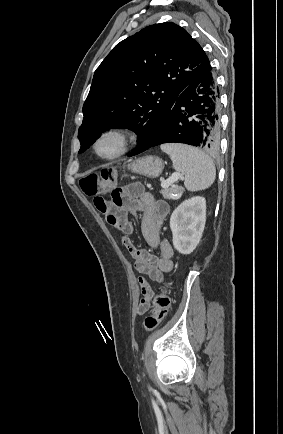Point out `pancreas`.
<instances>
[{"label":"pancreas","instance_id":"1","mask_svg":"<svg viewBox=\"0 0 283 434\" xmlns=\"http://www.w3.org/2000/svg\"><path fill=\"white\" fill-rule=\"evenodd\" d=\"M183 188L180 187H165L163 188V190H161V194L164 198L166 199H179L181 197V195L183 194ZM173 193L175 194V196L173 195Z\"/></svg>","mask_w":283,"mask_h":434}]
</instances>
